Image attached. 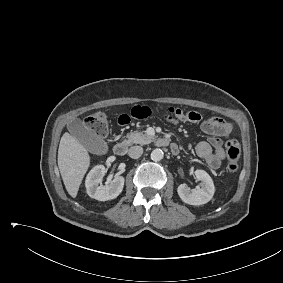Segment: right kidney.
Returning <instances> with one entry per match:
<instances>
[{
  "instance_id": "1",
  "label": "right kidney",
  "mask_w": 283,
  "mask_h": 283,
  "mask_svg": "<svg viewBox=\"0 0 283 283\" xmlns=\"http://www.w3.org/2000/svg\"><path fill=\"white\" fill-rule=\"evenodd\" d=\"M106 168L103 165H97L88 173L85 186L87 194L96 200L107 201L115 199L123 190L124 177H115L108 185H102Z\"/></svg>"
}]
</instances>
